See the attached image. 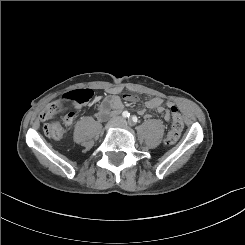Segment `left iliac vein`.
Segmentation results:
<instances>
[{
  "mask_svg": "<svg viewBox=\"0 0 245 245\" xmlns=\"http://www.w3.org/2000/svg\"><path fill=\"white\" fill-rule=\"evenodd\" d=\"M121 124L122 125H126L127 123H126V121H122Z\"/></svg>",
  "mask_w": 245,
  "mask_h": 245,
  "instance_id": "left-iliac-vein-1",
  "label": "left iliac vein"
}]
</instances>
